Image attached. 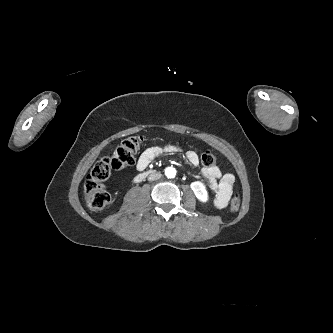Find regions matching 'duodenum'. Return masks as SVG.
<instances>
[{
  "label": "duodenum",
  "instance_id": "410a0bca",
  "mask_svg": "<svg viewBox=\"0 0 333 333\" xmlns=\"http://www.w3.org/2000/svg\"><path fill=\"white\" fill-rule=\"evenodd\" d=\"M148 175H149L148 172L140 173V174H138V175L134 178V181H135V182H141V181L144 180Z\"/></svg>",
  "mask_w": 333,
  "mask_h": 333
}]
</instances>
